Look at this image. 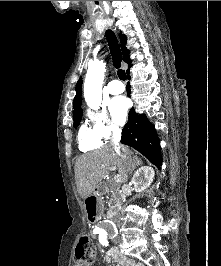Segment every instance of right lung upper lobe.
Here are the masks:
<instances>
[{
	"instance_id": "cb5924a9",
	"label": "right lung upper lobe",
	"mask_w": 221,
	"mask_h": 266,
	"mask_svg": "<svg viewBox=\"0 0 221 266\" xmlns=\"http://www.w3.org/2000/svg\"><path fill=\"white\" fill-rule=\"evenodd\" d=\"M127 38L125 35L120 34V43H121V49H122V53H123V60L124 62L129 64V68L131 67L130 63L131 60L129 58V50L125 47ZM129 72V70H127V73ZM81 91H82V78L80 77L77 84H76V96L74 98V112H73V116L75 115H79L82 112L81 109Z\"/></svg>"
}]
</instances>
